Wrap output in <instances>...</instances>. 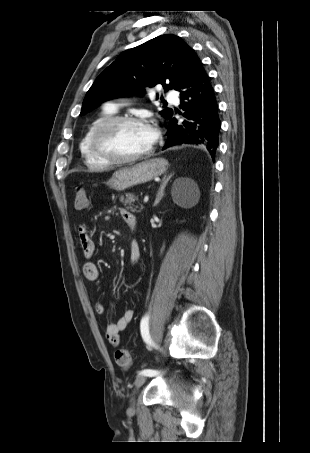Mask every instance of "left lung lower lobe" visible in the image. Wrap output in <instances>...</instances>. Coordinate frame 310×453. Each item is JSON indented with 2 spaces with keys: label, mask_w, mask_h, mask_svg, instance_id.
Returning a JSON list of instances; mask_svg holds the SVG:
<instances>
[{
  "label": "left lung lower lobe",
  "mask_w": 310,
  "mask_h": 453,
  "mask_svg": "<svg viewBox=\"0 0 310 453\" xmlns=\"http://www.w3.org/2000/svg\"><path fill=\"white\" fill-rule=\"evenodd\" d=\"M175 90L180 92V108L184 110L186 120L178 122L170 118L167 125L168 140L163 150L174 145L202 144L214 159L221 121L212 85L195 52L190 57L184 78Z\"/></svg>",
  "instance_id": "left-lung-lower-lobe-1"
}]
</instances>
